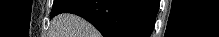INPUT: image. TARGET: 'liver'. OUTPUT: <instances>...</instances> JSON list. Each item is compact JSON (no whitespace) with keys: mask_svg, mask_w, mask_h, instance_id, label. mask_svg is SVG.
I'll return each mask as SVG.
<instances>
[{"mask_svg":"<svg viewBox=\"0 0 219 37\" xmlns=\"http://www.w3.org/2000/svg\"><path fill=\"white\" fill-rule=\"evenodd\" d=\"M52 37H97L98 32L81 17L69 13L56 16L51 22Z\"/></svg>","mask_w":219,"mask_h":37,"instance_id":"6515ba94","label":"liver"}]
</instances>
